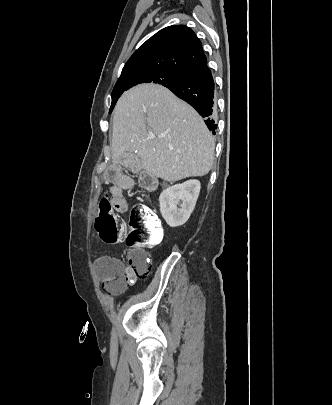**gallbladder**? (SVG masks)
<instances>
[{"instance_id": "1", "label": "gallbladder", "mask_w": 332, "mask_h": 405, "mask_svg": "<svg viewBox=\"0 0 332 405\" xmlns=\"http://www.w3.org/2000/svg\"><path fill=\"white\" fill-rule=\"evenodd\" d=\"M132 156L134 157V159H138V156L136 154H132Z\"/></svg>"}]
</instances>
